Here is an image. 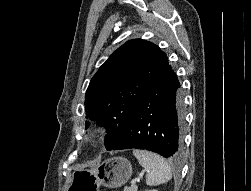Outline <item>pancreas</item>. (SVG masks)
I'll return each mask as SVG.
<instances>
[{"label": "pancreas", "instance_id": "pancreas-1", "mask_svg": "<svg viewBox=\"0 0 251 191\" xmlns=\"http://www.w3.org/2000/svg\"><path fill=\"white\" fill-rule=\"evenodd\" d=\"M124 191H137L136 187H124Z\"/></svg>", "mask_w": 251, "mask_h": 191}]
</instances>
